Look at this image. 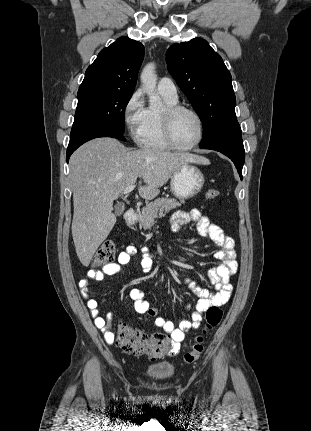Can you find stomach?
<instances>
[{
  "label": "stomach",
  "instance_id": "stomach-1",
  "mask_svg": "<svg viewBox=\"0 0 311 431\" xmlns=\"http://www.w3.org/2000/svg\"><path fill=\"white\" fill-rule=\"evenodd\" d=\"M204 184L201 170L191 164H184L171 176L170 192L178 200H189L201 192Z\"/></svg>",
  "mask_w": 311,
  "mask_h": 431
}]
</instances>
